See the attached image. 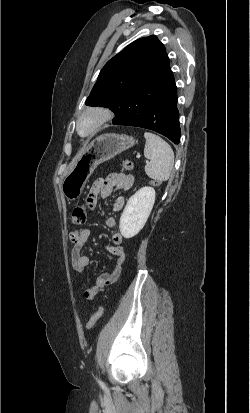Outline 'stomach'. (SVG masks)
Segmentation results:
<instances>
[{"instance_id":"1","label":"stomach","mask_w":250,"mask_h":413,"mask_svg":"<svg viewBox=\"0 0 250 413\" xmlns=\"http://www.w3.org/2000/svg\"><path fill=\"white\" fill-rule=\"evenodd\" d=\"M135 139L123 134L107 133L95 138L74 163L62 182V192L68 201L78 199L95 168L117 154L131 148Z\"/></svg>"}]
</instances>
